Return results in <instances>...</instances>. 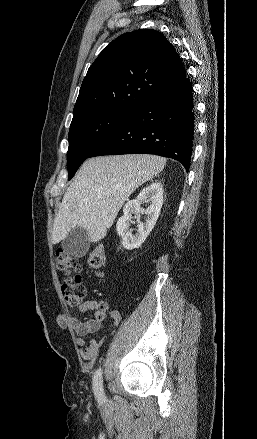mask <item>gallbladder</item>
I'll return each instance as SVG.
<instances>
[{
	"label": "gallbladder",
	"mask_w": 257,
	"mask_h": 439,
	"mask_svg": "<svg viewBox=\"0 0 257 439\" xmlns=\"http://www.w3.org/2000/svg\"><path fill=\"white\" fill-rule=\"evenodd\" d=\"M61 245L68 254L83 257L90 247L88 232L83 228L76 227L69 232Z\"/></svg>",
	"instance_id": "obj_1"
}]
</instances>
